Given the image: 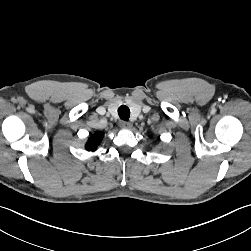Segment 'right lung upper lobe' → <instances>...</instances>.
Returning a JSON list of instances; mask_svg holds the SVG:
<instances>
[{"instance_id": "right-lung-upper-lobe-1", "label": "right lung upper lobe", "mask_w": 251, "mask_h": 251, "mask_svg": "<svg viewBox=\"0 0 251 251\" xmlns=\"http://www.w3.org/2000/svg\"><path fill=\"white\" fill-rule=\"evenodd\" d=\"M104 133L103 132H98L94 135H92L89 138L88 143L86 144V149L88 151H95L97 149V146L100 144L101 140L103 139Z\"/></svg>"}]
</instances>
